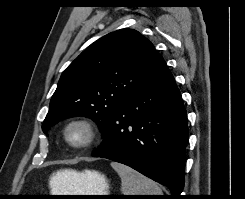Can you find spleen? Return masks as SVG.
Instances as JSON below:
<instances>
[{
    "mask_svg": "<svg viewBox=\"0 0 245 199\" xmlns=\"http://www.w3.org/2000/svg\"><path fill=\"white\" fill-rule=\"evenodd\" d=\"M111 166L121 178L123 195H163L157 183L134 169L117 162H112Z\"/></svg>",
    "mask_w": 245,
    "mask_h": 199,
    "instance_id": "3e777b00",
    "label": "spleen"
}]
</instances>
